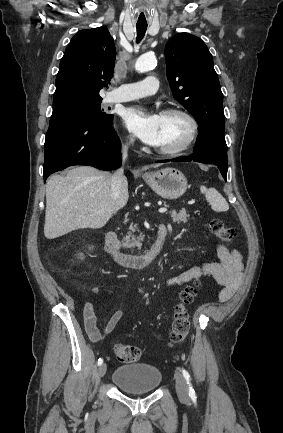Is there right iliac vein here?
Returning a JSON list of instances; mask_svg holds the SVG:
<instances>
[{
    "instance_id": "obj_1",
    "label": "right iliac vein",
    "mask_w": 283,
    "mask_h": 433,
    "mask_svg": "<svg viewBox=\"0 0 283 433\" xmlns=\"http://www.w3.org/2000/svg\"><path fill=\"white\" fill-rule=\"evenodd\" d=\"M107 366L105 363L101 364L99 367V376L103 377L106 373Z\"/></svg>"
}]
</instances>
